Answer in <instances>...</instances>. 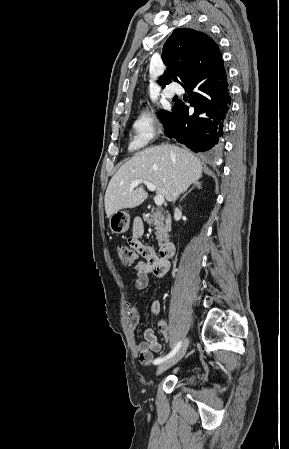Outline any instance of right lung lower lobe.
Wrapping results in <instances>:
<instances>
[{
  "mask_svg": "<svg viewBox=\"0 0 289 449\" xmlns=\"http://www.w3.org/2000/svg\"><path fill=\"white\" fill-rule=\"evenodd\" d=\"M184 88H188V102L194 107V113L190 116L188 105L178 100L165 127V134L194 152L219 150L231 103L224 64L206 79Z\"/></svg>",
  "mask_w": 289,
  "mask_h": 449,
  "instance_id": "1",
  "label": "right lung lower lobe"
}]
</instances>
